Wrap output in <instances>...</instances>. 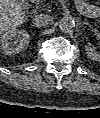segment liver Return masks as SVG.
I'll return each instance as SVG.
<instances>
[{"label":"liver","mask_w":100,"mask_h":118,"mask_svg":"<svg viewBox=\"0 0 100 118\" xmlns=\"http://www.w3.org/2000/svg\"><path fill=\"white\" fill-rule=\"evenodd\" d=\"M25 14L20 0H1L0 3V30L1 33L16 29L23 24Z\"/></svg>","instance_id":"6515ba94"}]
</instances>
